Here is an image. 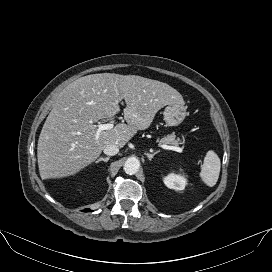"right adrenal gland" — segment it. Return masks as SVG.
Instances as JSON below:
<instances>
[{"instance_id":"right-adrenal-gland-1","label":"right adrenal gland","mask_w":272,"mask_h":272,"mask_svg":"<svg viewBox=\"0 0 272 272\" xmlns=\"http://www.w3.org/2000/svg\"><path fill=\"white\" fill-rule=\"evenodd\" d=\"M109 159L110 157H106V158L100 157L99 159H97L96 163H99L100 161L108 162Z\"/></svg>"}]
</instances>
